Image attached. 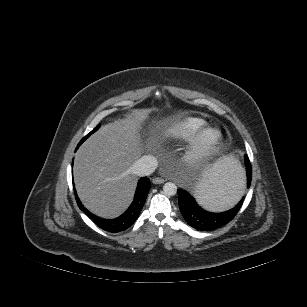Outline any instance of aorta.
Segmentation results:
<instances>
[{
	"label": "aorta",
	"instance_id": "1",
	"mask_svg": "<svg viewBox=\"0 0 307 307\" xmlns=\"http://www.w3.org/2000/svg\"><path fill=\"white\" fill-rule=\"evenodd\" d=\"M163 192L166 196H173L177 193V186L172 182H167L163 186Z\"/></svg>",
	"mask_w": 307,
	"mask_h": 307
}]
</instances>
